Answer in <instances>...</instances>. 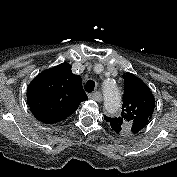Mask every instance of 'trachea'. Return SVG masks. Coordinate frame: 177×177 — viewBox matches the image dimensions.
Instances as JSON below:
<instances>
[{
  "mask_svg": "<svg viewBox=\"0 0 177 177\" xmlns=\"http://www.w3.org/2000/svg\"><path fill=\"white\" fill-rule=\"evenodd\" d=\"M95 88V82L92 80H88L85 85V89L88 93L92 92Z\"/></svg>",
  "mask_w": 177,
  "mask_h": 177,
  "instance_id": "trachea-1",
  "label": "trachea"
}]
</instances>
